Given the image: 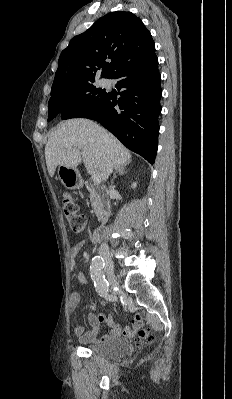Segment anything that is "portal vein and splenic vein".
Returning a JSON list of instances; mask_svg holds the SVG:
<instances>
[{"mask_svg": "<svg viewBox=\"0 0 232 399\" xmlns=\"http://www.w3.org/2000/svg\"><path fill=\"white\" fill-rule=\"evenodd\" d=\"M92 180L96 186H99L101 184V176H98V174H93Z\"/></svg>", "mask_w": 232, "mask_h": 399, "instance_id": "18ae733b", "label": "portal vein and splenic vein"}]
</instances>
